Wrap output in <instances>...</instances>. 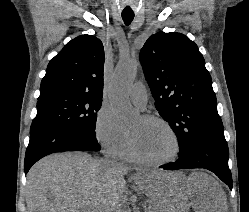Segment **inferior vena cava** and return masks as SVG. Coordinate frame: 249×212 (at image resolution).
Segmentation results:
<instances>
[{
	"label": "inferior vena cava",
	"instance_id": "inferior-vena-cava-1",
	"mask_svg": "<svg viewBox=\"0 0 249 212\" xmlns=\"http://www.w3.org/2000/svg\"><path fill=\"white\" fill-rule=\"evenodd\" d=\"M102 162H110V164H112L109 152H104V160H102Z\"/></svg>",
	"mask_w": 249,
	"mask_h": 212
}]
</instances>
